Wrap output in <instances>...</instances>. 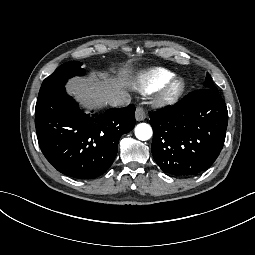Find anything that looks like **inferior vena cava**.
<instances>
[{
	"label": "inferior vena cava",
	"instance_id": "602c4592",
	"mask_svg": "<svg viewBox=\"0 0 255 255\" xmlns=\"http://www.w3.org/2000/svg\"><path fill=\"white\" fill-rule=\"evenodd\" d=\"M106 102L113 108H123L131 103V98L119 91L114 95L108 96Z\"/></svg>",
	"mask_w": 255,
	"mask_h": 255
}]
</instances>
